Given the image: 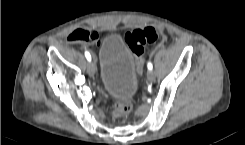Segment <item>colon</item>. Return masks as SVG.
Instances as JSON below:
<instances>
[{"label":"colon","instance_id":"colon-1","mask_svg":"<svg viewBox=\"0 0 245 145\" xmlns=\"http://www.w3.org/2000/svg\"><path fill=\"white\" fill-rule=\"evenodd\" d=\"M97 33L84 28H75L67 35V41L71 43L89 44L97 39ZM163 38V35L155 27L148 26L145 28H136L129 31L125 35V40L130 47L136 64V72L138 75L143 73V46L145 43H152ZM132 109L130 101L121 99L115 103L113 116L116 119L126 117Z\"/></svg>","mask_w":245,"mask_h":145}]
</instances>
